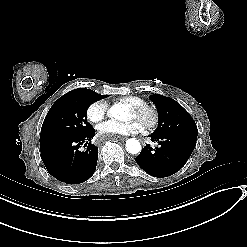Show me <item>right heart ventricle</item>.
I'll use <instances>...</instances> for the list:
<instances>
[{
    "label": "right heart ventricle",
    "mask_w": 247,
    "mask_h": 247,
    "mask_svg": "<svg viewBox=\"0 0 247 247\" xmlns=\"http://www.w3.org/2000/svg\"><path fill=\"white\" fill-rule=\"evenodd\" d=\"M118 101L121 104L127 106L129 109H130V107H138V106L146 103L144 99H142L140 97H136V96H125V97L120 98ZM130 110L132 111V109H130ZM116 123H118V122H116Z\"/></svg>",
    "instance_id": "obj_1"
}]
</instances>
